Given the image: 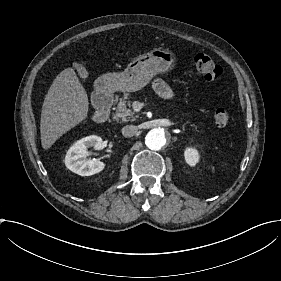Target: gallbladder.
<instances>
[{"mask_svg":"<svg viewBox=\"0 0 281 281\" xmlns=\"http://www.w3.org/2000/svg\"><path fill=\"white\" fill-rule=\"evenodd\" d=\"M74 71L78 72L79 76H81V78L86 79L89 76L88 71H86V69L82 68L81 64L76 63L73 66Z\"/></svg>","mask_w":281,"mask_h":281,"instance_id":"obj_1","label":"gallbladder"}]
</instances>
